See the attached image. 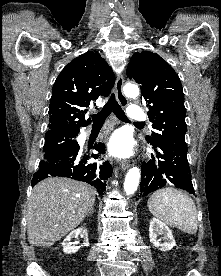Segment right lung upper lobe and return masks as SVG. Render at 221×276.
I'll return each instance as SVG.
<instances>
[{
  "label": "right lung upper lobe",
  "mask_w": 221,
  "mask_h": 276,
  "mask_svg": "<svg viewBox=\"0 0 221 276\" xmlns=\"http://www.w3.org/2000/svg\"><path fill=\"white\" fill-rule=\"evenodd\" d=\"M115 83L110 66L98 52H87L73 59L58 75L49 105L51 134H78L90 123L85 109L100 96H108Z\"/></svg>",
  "instance_id": "obj_1"
}]
</instances>
